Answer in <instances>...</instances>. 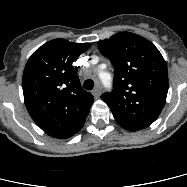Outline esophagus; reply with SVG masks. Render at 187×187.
<instances>
[{
    "label": "esophagus",
    "instance_id": "1",
    "mask_svg": "<svg viewBox=\"0 0 187 187\" xmlns=\"http://www.w3.org/2000/svg\"><path fill=\"white\" fill-rule=\"evenodd\" d=\"M101 93H102V87H101L100 85H97V86L95 87V89L93 90V92H92L93 96H94L96 99L100 97Z\"/></svg>",
    "mask_w": 187,
    "mask_h": 187
}]
</instances>
